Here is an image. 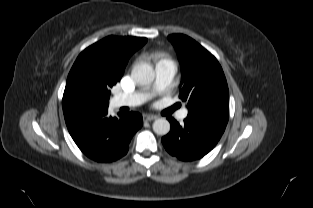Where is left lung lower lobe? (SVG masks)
Masks as SVG:
<instances>
[{
  "label": "left lung lower lobe",
  "mask_w": 313,
  "mask_h": 208,
  "mask_svg": "<svg viewBox=\"0 0 313 208\" xmlns=\"http://www.w3.org/2000/svg\"><path fill=\"white\" fill-rule=\"evenodd\" d=\"M170 132L162 138L165 149L178 159L193 161L209 153L220 140L225 127L208 122L196 121L190 117L180 125L174 118H167Z\"/></svg>",
  "instance_id": "left-lung-lower-lobe-1"
}]
</instances>
